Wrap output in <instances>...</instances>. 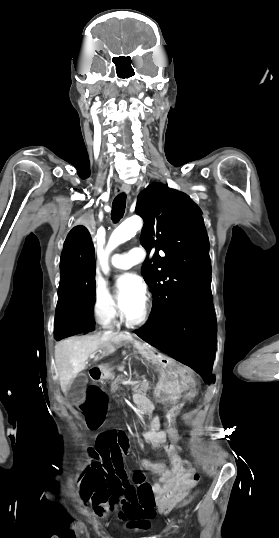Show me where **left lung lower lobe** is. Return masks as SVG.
I'll return each mask as SVG.
<instances>
[{
    "label": "left lung lower lobe",
    "instance_id": "obj_1",
    "mask_svg": "<svg viewBox=\"0 0 279 538\" xmlns=\"http://www.w3.org/2000/svg\"><path fill=\"white\" fill-rule=\"evenodd\" d=\"M216 316L211 289L197 293L163 325L135 330L144 341L190 366L207 382L216 344Z\"/></svg>",
    "mask_w": 279,
    "mask_h": 538
}]
</instances>
